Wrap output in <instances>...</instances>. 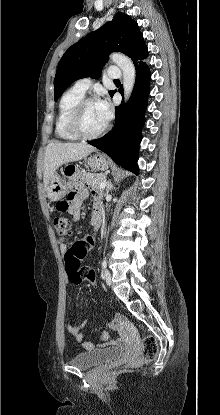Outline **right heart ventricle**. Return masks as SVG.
I'll list each match as a JSON object with an SVG mask.
<instances>
[{"mask_svg": "<svg viewBox=\"0 0 220 415\" xmlns=\"http://www.w3.org/2000/svg\"><path fill=\"white\" fill-rule=\"evenodd\" d=\"M83 98L84 93L74 88H71L62 95L58 104L55 120V134L58 138L69 141L77 139L67 128V118L73 107Z\"/></svg>", "mask_w": 220, "mask_h": 415, "instance_id": "right-heart-ventricle-1", "label": "right heart ventricle"}]
</instances>
